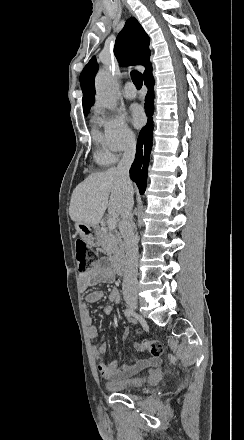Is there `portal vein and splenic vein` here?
<instances>
[{
  "instance_id": "18ae733b",
  "label": "portal vein and splenic vein",
  "mask_w": 244,
  "mask_h": 440,
  "mask_svg": "<svg viewBox=\"0 0 244 440\" xmlns=\"http://www.w3.org/2000/svg\"><path fill=\"white\" fill-rule=\"evenodd\" d=\"M107 224H108V228H110V230H115L116 224H117L116 218H108Z\"/></svg>"
}]
</instances>
